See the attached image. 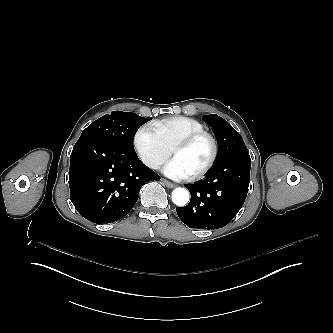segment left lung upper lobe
Here are the masks:
<instances>
[{
	"mask_svg": "<svg viewBox=\"0 0 333 333\" xmlns=\"http://www.w3.org/2000/svg\"><path fill=\"white\" fill-rule=\"evenodd\" d=\"M202 120L212 127L218 142L215 163L238 152L248 151L241 135L223 118L216 114L205 115Z\"/></svg>",
	"mask_w": 333,
	"mask_h": 333,
	"instance_id": "left-lung-upper-lobe-1",
	"label": "left lung upper lobe"
}]
</instances>
